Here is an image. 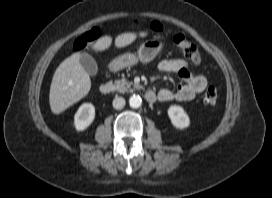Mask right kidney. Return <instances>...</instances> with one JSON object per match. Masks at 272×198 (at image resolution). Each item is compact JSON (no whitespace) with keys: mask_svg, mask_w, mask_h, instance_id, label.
Masks as SVG:
<instances>
[{"mask_svg":"<svg viewBox=\"0 0 272 198\" xmlns=\"http://www.w3.org/2000/svg\"><path fill=\"white\" fill-rule=\"evenodd\" d=\"M95 118V107L91 103L82 104L74 116V126L77 131L87 129Z\"/></svg>","mask_w":272,"mask_h":198,"instance_id":"ca27d5eb","label":"right kidney"}]
</instances>
